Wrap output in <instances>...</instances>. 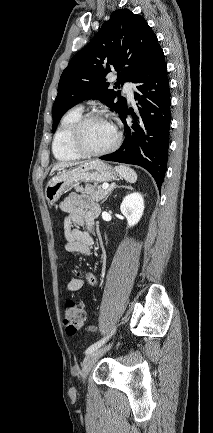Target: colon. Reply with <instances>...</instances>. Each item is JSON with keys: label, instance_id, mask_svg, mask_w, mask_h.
<instances>
[{"label": "colon", "instance_id": "1", "mask_svg": "<svg viewBox=\"0 0 213 433\" xmlns=\"http://www.w3.org/2000/svg\"><path fill=\"white\" fill-rule=\"evenodd\" d=\"M86 314L82 303L68 299L65 303L64 324L69 335L77 333L85 324Z\"/></svg>", "mask_w": 213, "mask_h": 433}]
</instances>
